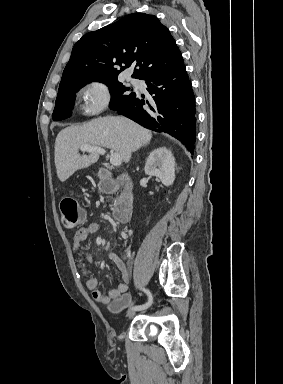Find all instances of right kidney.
Segmentation results:
<instances>
[{
    "mask_svg": "<svg viewBox=\"0 0 283 384\" xmlns=\"http://www.w3.org/2000/svg\"><path fill=\"white\" fill-rule=\"evenodd\" d=\"M147 176H156L164 186H172L175 180V160L167 148L153 150L144 168Z\"/></svg>",
    "mask_w": 283,
    "mask_h": 384,
    "instance_id": "ca27d5eb",
    "label": "right kidney"
}]
</instances>
